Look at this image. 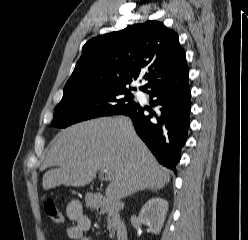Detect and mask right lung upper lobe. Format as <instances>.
I'll return each instance as SVG.
<instances>
[{
    "label": "right lung upper lobe",
    "mask_w": 248,
    "mask_h": 240,
    "mask_svg": "<svg viewBox=\"0 0 248 240\" xmlns=\"http://www.w3.org/2000/svg\"><path fill=\"white\" fill-rule=\"evenodd\" d=\"M144 69L143 91L188 69L178 34L162 22L138 23L89 40L64 90L126 88Z\"/></svg>",
    "instance_id": "cb5924a9"
}]
</instances>
